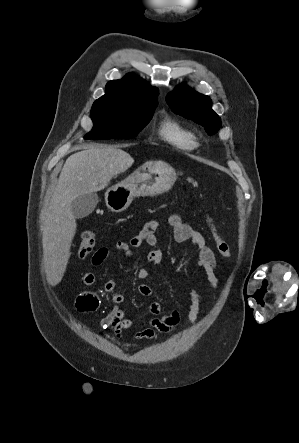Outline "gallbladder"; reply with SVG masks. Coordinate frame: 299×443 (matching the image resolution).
Masks as SVG:
<instances>
[{
    "mask_svg": "<svg viewBox=\"0 0 299 443\" xmlns=\"http://www.w3.org/2000/svg\"><path fill=\"white\" fill-rule=\"evenodd\" d=\"M98 202L99 198L95 192L81 195L72 201L71 212L76 219L85 218L94 211Z\"/></svg>",
    "mask_w": 299,
    "mask_h": 443,
    "instance_id": "1",
    "label": "gallbladder"
}]
</instances>
